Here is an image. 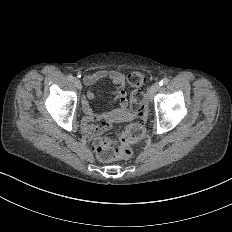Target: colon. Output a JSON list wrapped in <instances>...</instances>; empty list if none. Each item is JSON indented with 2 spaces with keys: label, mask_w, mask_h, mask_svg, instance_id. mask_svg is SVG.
I'll return each instance as SVG.
<instances>
[{
  "label": "colon",
  "mask_w": 232,
  "mask_h": 232,
  "mask_svg": "<svg viewBox=\"0 0 232 232\" xmlns=\"http://www.w3.org/2000/svg\"><path fill=\"white\" fill-rule=\"evenodd\" d=\"M143 76H146V71H132V75H129L132 85L131 106L137 115H144L148 111L145 94L146 86L149 85V82L144 81ZM143 134V126L139 123H134L124 131L123 139L115 134H105L99 137L94 145V152L109 162H116L120 158V151L124 148V142L135 144L141 140Z\"/></svg>",
  "instance_id": "1"
}]
</instances>
